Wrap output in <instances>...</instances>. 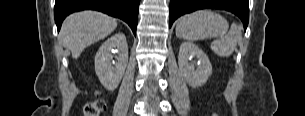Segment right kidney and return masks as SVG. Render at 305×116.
Listing matches in <instances>:
<instances>
[{
    "mask_svg": "<svg viewBox=\"0 0 305 116\" xmlns=\"http://www.w3.org/2000/svg\"><path fill=\"white\" fill-rule=\"evenodd\" d=\"M116 62L112 61L113 53ZM128 63V45L123 33H116L108 38L99 48L95 56V72L101 84L110 91H114L127 67Z\"/></svg>",
    "mask_w": 305,
    "mask_h": 116,
    "instance_id": "ca27d5eb",
    "label": "right kidney"
}]
</instances>
